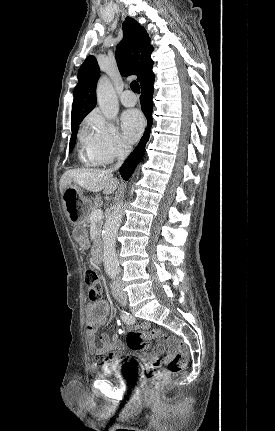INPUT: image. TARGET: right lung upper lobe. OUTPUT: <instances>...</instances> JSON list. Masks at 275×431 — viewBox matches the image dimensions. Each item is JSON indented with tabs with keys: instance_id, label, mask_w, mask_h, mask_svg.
Segmentation results:
<instances>
[{
	"instance_id": "obj_1",
	"label": "right lung upper lobe",
	"mask_w": 275,
	"mask_h": 431,
	"mask_svg": "<svg viewBox=\"0 0 275 431\" xmlns=\"http://www.w3.org/2000/svg\"><path fill=\"white\" fill-rule=\"evenodd\" d=\"M123 39L116 48V61L123 76L137 75L141 87L155 76L150 55L153 47L146 30L133 18L127 17L122 25ZM96 58L89 56L78 71L74 89L71 125L75 127L96 105V85L100 76Z\"/></svg>"
}]
</instances>
